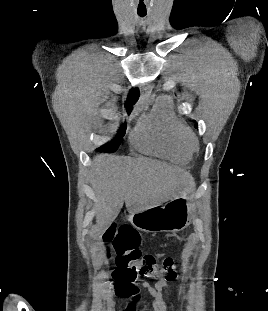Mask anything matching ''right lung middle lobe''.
I'll return each mask as SVG.
<instances>
[{
    "label": "right lung middle lobe",
    "mask_w": 268,
    "mask_h": 311,
    "mask_svg": "<svg viewBox=\"0 0 268 311\" xmlns=\"http://www.w3.org/2000/svg\"><path fill=\"white\" fill-rule=\"evenodd\" d=\"M127 113H129V111ZM125 130H126V125L123 124L121 128L119 129L116 137L111 142L104 144L97 150L101 152H108V153L115 152L120 146L121 138L125 134Z\"/></svg>",
    "instance_id": "dd1d6c3e"
}]
</instances>
